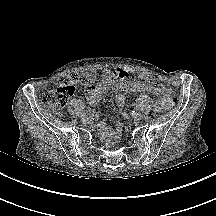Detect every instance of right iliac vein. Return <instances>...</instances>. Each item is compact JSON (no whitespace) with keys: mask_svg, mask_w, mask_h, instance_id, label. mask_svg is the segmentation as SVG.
Segmentation results:
<instances>
[{"mask_svg":"<svg viewBox=\"0 0 216 216\" xmlns=\"http://www.w3.org/2000/svg\"><path fill=\"white\" fill-rule=\"evenodd\" d=\"M81 119H82L83 122H87V121L89 120V117H88L87 114H83V115L81 116Z\"/></svg>","mask_w":216,"mask_h":216,"instance_id":"obj_1","label":"right iliac vein"}]
</instances>
